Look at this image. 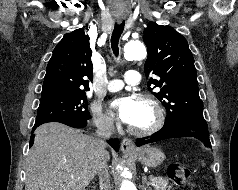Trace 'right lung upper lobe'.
I'll list each match as a JSON object with an SVG mask.
<instances>
[{
  "mask_svg": "<svg viewBox=\"0 0 238 190\" xmlns=\"http://www.w3.org/2000/svg\"><path fill=\"white\" fill-rule=\"evenodd\" d=\"M89 45V36L83 29L64 35L47 65L41 97L89 90L93 68Z\"/></svg>",
  "mask_w": 238,
  "mask_h": 190,
  "instance_id": "obj_1",
  "label": "right lung upper lobe"
}]
</instances>
